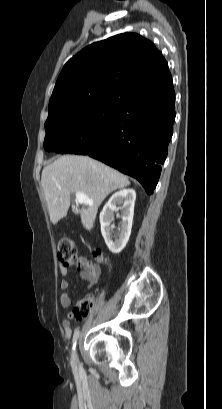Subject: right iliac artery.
I'll use <instances>...</instances> for the list:
<instances>
[{
	"mask_svg": "<svg viewBox=\"0 0 222 409\" xmlns=\"http://www.w3.org/2000/svg\"><path fill=\"white\" fill-rule=\"evenodd\" d=\"M79 337V331H76L73 335V347H72V354H71V363L75 364L77 362V355L75 352L77 339Z\"/></svg>",
	"mask_w": 222,
	"mask_h": 409,
	"instance_id": "1",
	"label": "right iliac artery"
}]
</instances>
